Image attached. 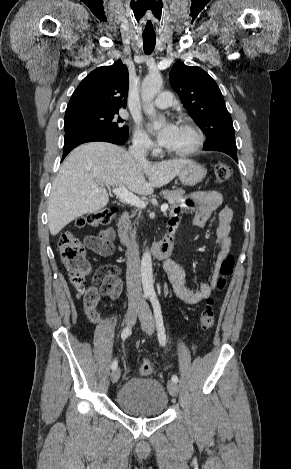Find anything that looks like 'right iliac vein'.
I'll return each instance as SVG.
<instances>
[{"mask_svg":"<svg viewBox=\"0 0 291 469\" xmlns=\"http://www.w3.org/2000/svg\"><path fill=\"white\" fill-rule=\"evenodd\" d=\"M140 310L141 308L138 306H130L128 308L127 313H126V318H125L126 325L128 327H131L135 323L137 315L140 313ZM120 374H121L120 368L114 369L110 374L111 381L113 383H116L120 378Z\"/></svg>","mask_w":291,"mask_h":469,"instance_id":"63e3f726","label":"right iliac vein"}]
</instances>
